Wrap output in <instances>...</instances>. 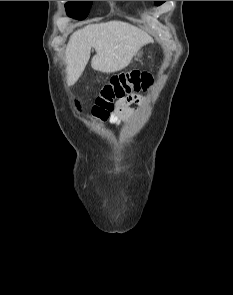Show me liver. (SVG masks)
Returning <instances> with one entry per match:
<instances>
[{"label":"liver","instance_id":"1","mask_svg":"<svg viewBox=\"0 0 233 295\" xmlns=\"http://www.w3.org/2000/svg\"><path fill=\"white\" fill-rule=\"evenodd\" d=\"M153 39L141 29L122 21L89 24L72 34L65 51L67 85H74L83 73L91 48L94 70L114 73L127 67L135 53Z\"/></svg>","mask_w":233,"mask_h":295}]
</instances>
